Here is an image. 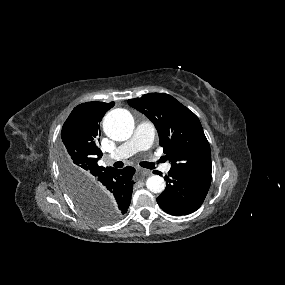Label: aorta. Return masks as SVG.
Here are the masks:
<instances>
[{
    "mask_svg": "<svg viewBox=\"0 0 285 285\" xmlns=\"http://www.w3.org/2000/svg\"><path fill=\"white\" fill-rule=\"evenodd\" d=\"M103 130L109 138L125 141L133 133L134 119L126 109H114L104 117ZM146 186L153 193H161L165 189V181L159 175H152L147 179Z\"/></svg>",
    "mask_w": 285,
    "mask_h": 285,
    "instance_id": "762f6f07",
    "label": "aorta"
}]
</instances>
